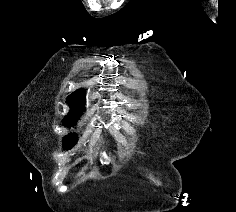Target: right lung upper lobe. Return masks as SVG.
Segmentation results:
<instances>
[{"mask_svg":"<svg viewBox=\"0 0 236 212\" xmlns=\"http://www.w3.org/2000/svg\"><path fill=\"white\" fill-rule=\"evenodd\" d=\"M67 103L70 106V111H83L85 105V92L82 89L73 92L68 96Z\"/></svg>","mask_w":236,"mask_h":212,"instance_id":"1","label":"right lung upper lobe"}]
</instances>
